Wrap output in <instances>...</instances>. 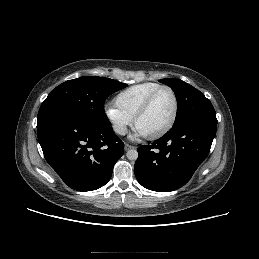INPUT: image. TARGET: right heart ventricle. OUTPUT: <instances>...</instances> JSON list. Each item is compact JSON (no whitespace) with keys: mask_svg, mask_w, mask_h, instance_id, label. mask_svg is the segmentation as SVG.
I'll list each match as a JSON object with an SVG mask.
<instances>
[{"mask_svg":"<svg viewBox=\"0 0 259 259\" xmlns=\"http://www.w3.org/2000/svg\"><path fill=\"white\" fill-rule=\"evenodd\" d=\"M161 86L155 82H144L120 91L114 98L116 107L131 119L141 107L147 96Z\"/></svg>","mask_w":259,"mask_h":259,"instance_id":"obj_1","label":"right heart ventricle"}]
</instances>
